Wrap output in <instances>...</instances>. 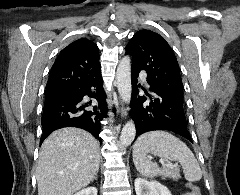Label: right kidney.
<instances>
[{"label": "right kidney", "mask_w": 240, "mask_h": 195, "mask_svg": "<svg viewBox=\"0 0 240 195\" xmlns=\"http://www.w3.org/2000/svg\"><path fill=\"white\" fill-rule=\"evenodd\" d=\"M74 195H97V187H85V189L77 191Z\"/></svg>", "instance_id": "1"}]
</instances>
